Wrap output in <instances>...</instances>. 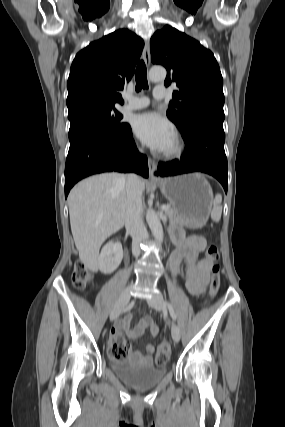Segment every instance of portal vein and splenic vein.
<instances>
[{"instance_id": "obj_1", "label": "portal vein and splenic vein", "mask_w": 285, "mask_h": 427, "mask_svg": "<svg viewBox=\"0 0 285 427\" xmlns=\"http://www.w3.org/2000/svg\"><path fill=\"white\" fill-rule=\"evenodd\" d=\"M169 208H170V206H168V205H163L162 206V209L165 210V211L169 210Z\"/></svg>"}]
</instances>
